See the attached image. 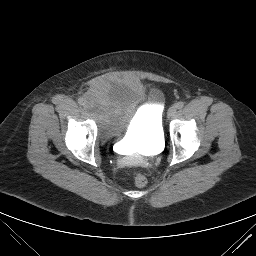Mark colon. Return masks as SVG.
Segmentation results:
<instances>
[{
	"label": "colon",
	"instance_id": "obj_1",
	"mask_svg": "<svg viewBox=\"0 0 256 256\" xmlns=\"http://www.w3.org/2000/svg\"><path fill=\"white\" fill-rule=\"evenodd\" d=\"M133 180L137 187H144L147 184V178L142 173H135Z\"/></svg>",
	"mask_w": 256,
	"mask_h": 256
}]
</instances>
